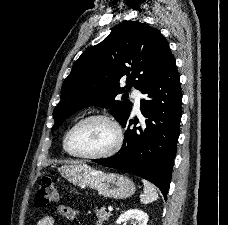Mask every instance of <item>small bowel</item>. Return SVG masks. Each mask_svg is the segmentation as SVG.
<instances>
[{"mask_svg": "<svg viewBox=\"0 0 228 225\" xmlns=\"http://www.w3.org/2000/svg\"><path fill=\"white\" fill-rule=\"evenodd\" d=\"M57 211L62 217L68 220L76 219V216H77L76 211L69 206H59L57 208ZM55 224H56V221L53 215H45L41 217L37 222V225H55Z\"/></svg>", "mask_w": 228, "mask_h": 225, "instance_id": "obj_1", "label": "small bowel"}]
</instances>
